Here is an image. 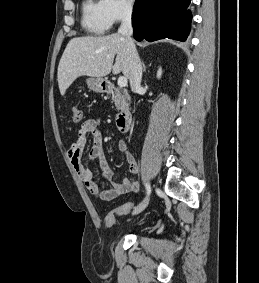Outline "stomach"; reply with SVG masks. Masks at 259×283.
<instances>
[{
  "mask_svg": "<svg viewBox=\"0 0 259 283\" xmlns=\"http://www.w3.org/2000/svg\"><path fill=\"white\" fill-rule=\"evenodd\" d=\"M86 83L88 88L94 92L102 93L107 90V83L102 78L90 77L86 79Z\"/></svg>",
  "mask_w": 259,
  "mask_h": 283,
  "instance_id": "1",
  "label": "stomach"
}]
</instances>
